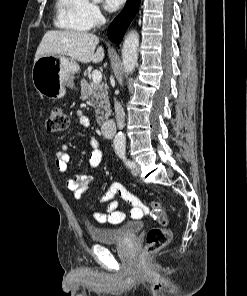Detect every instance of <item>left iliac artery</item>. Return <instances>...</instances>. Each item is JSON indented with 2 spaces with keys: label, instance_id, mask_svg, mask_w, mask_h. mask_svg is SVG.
Wrapping results in <instances>:
<instances>
[{
  "label": "left iliac artery",
  "instance_id": "44dca946",
  "mask_svg": "<svg viewBox=\"0 0 247 296\" xmlns=\"http://www.w3.org/2000/svg\"><path fill=\"white\" fill-rule=\"evenodd\" d=\"M119 157L123 160L125 165L129 168L135 167V163L127 159L124 151L118 153Z\"/></svg>",
  "mask_w": 247,
  "mask_h": 296
}]
</instances>
